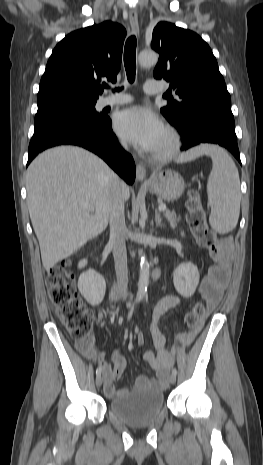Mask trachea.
<instances>
[{
	"mask_svg": "<svg viewBox=\"0 0 263 465\" xmlns=\"http://www.w3.org/2000/svg\"><path fill=\"white\" fill-rule=\"evenodd\" d=\"M124 65L127 79L130 83H133L136 75V37L134 35L130 36L125 43ZM116 90L119 91L120 88Z\"/></svg>",
	"mask_w": 263,
	"mask_h": 465,
	"instance_id": "obj_1",
	"label": "trachea"
}]
</instances>
